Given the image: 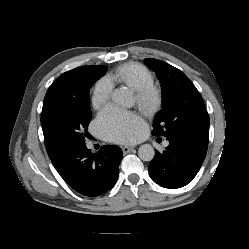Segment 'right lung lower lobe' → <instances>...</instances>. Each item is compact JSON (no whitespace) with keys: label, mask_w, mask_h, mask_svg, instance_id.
<instances>
[{"label":"right lung lower lobe","mask_w":249,"mask_h":249,"mask_svg":"<svg viewBox=\"0 0 249 249\" xmlns=\"http://www.w3.org/2000/svg\"><path fill=\"white\" fill-rule=\"evenodd\" d=\"M61 177L85 196H99L111 189L119 173L122 150L105 145L92 154L86 144L57 147L48 153Z\"/></svg>","instance_id":"98d812e1"}]
</instances>
